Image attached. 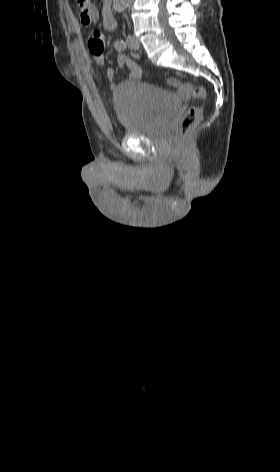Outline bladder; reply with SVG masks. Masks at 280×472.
I'll list each match as a JSON object with an SVG mask.
<instances>
[{
  "instance_id": "31cf9c89",
  "label": "bladder",
  "mask_w": 280,
  "mask_h": 472,
  "mask_svg": "<svg viewBox=\"0 0 280 472\" xmlns=\"http://www.w3.org/2000/svg\"><path fill=\"white\" fill-rule=\"evenodd\" d=\"M113 107L125 134L137 137L164 124L177 112L180 102L155 85L124 81L113 92Z\"/></svg>"
}]
</instances>
